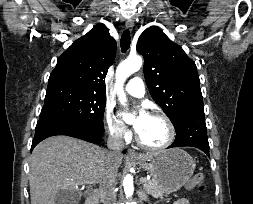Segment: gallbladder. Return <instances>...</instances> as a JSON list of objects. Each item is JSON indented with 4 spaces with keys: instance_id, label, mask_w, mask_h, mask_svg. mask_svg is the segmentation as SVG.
Listing matches in <instances>:
<instances>
[{
    "instance_id": "bac80fb5",
    "label": "gallbladder",
    "mask_w": 253,
    "mask_h": 204,
    "mask_svg": "<svg viewBox=\"0 0 253 204\" xmlns=\"http://www.w3.org/2000/svg\"><path fill=\"white\" fill-rule=\"evenodd\" d=\"M78 192L74 190H62L55 196V204H78Z\"/></svg>"
}]
</instances>
